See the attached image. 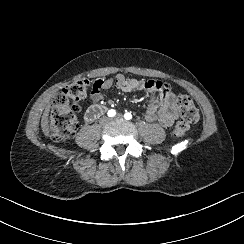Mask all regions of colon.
<instances>
[{
	"label": "colon",
	"instance_id": "obj_1",
	"mask_svg": "<svg viewBox=\"0 0 244 244\" xmlns=\"http://www.w3.org/2000/svg\"><path fill=\"white\" fill-rule=\"evenodd\" d=\"M89 81L85 78L69 83L53 100L49 115L51 138L55 142H64L71 138L77 128L79 101L87 94ZM175 104L180 112V119L173 128V136L182 139L190 126L199 120V110L193 100L184 94H178Z\"/></svg>",
	"mask_w": 244,
	"mask_h": 244
}]
</instances>
